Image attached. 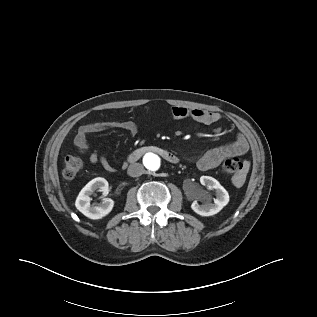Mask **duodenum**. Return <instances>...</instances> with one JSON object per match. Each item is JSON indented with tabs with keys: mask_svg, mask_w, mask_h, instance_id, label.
Returning a JSON list of instances; mask_svg holds the SVG:
<instances>
[{
	"mask_svg": "<svg viewBox=\"0 0 317 317\" xmlns=\"http://www.w3.org/2000/svg\"><path fill=\"white\" fill-rule=\"evenodd\" d=\"M155 153L159 156H161L164 160L176 164L178 163L179 159L178 157L171 151H168L166 149H163L158 146L149 145V146H143L140 147L134 151H132L128 156V161L133 163L138 161L144 154L146 153Z\"/></svg>",
	"mask_w": 317,
	"mask_h": 317,
	"instance_id": "410a0bca",
	"label": "duodenum"
}]
</instances>
